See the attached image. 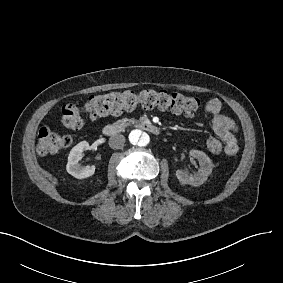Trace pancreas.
I'll list each match as a JSON object with an SVG mask.
<instances>
[{
  "instance_id": "pancreas-1",
  "label": "pancreas",
  "mask_w": 283,
  "mask_h": 283,
  "mask_svg": "<svg viewBox=\"0 0 283 283\" xmlns=\"http://www.w3.org/2000/svg\"><path fill=\"white\" fill-rule=\"evenodd\" d=\"M135 123V119H127L124 118L122 120H118L117 122L114 123L115 126H119L120 128H125L127 126H130L131 124Z\"/></svg>"
}]
</instances>
